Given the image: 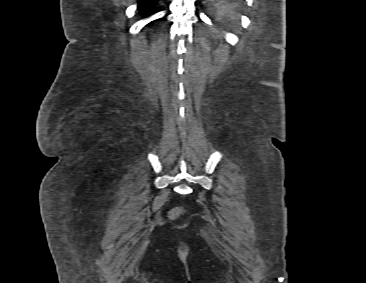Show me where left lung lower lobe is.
Masks as SVG:
<instances>
[{"label": "left lung lower lobe", "mask_w": 366, "mask_h": 283, "mask_svg": "<svg viewBox=\"0 0 366 283\" xmlns=\"http://www.w3.org/2000/svg\"><path fill=\"white\" fill-rule=\"evenodd\" d=\"M217 12L231 13L240 7L243 0H205Z\"/></svg>", "instance_id": "left-lung-lower-lobe-1"}]
</instances>
